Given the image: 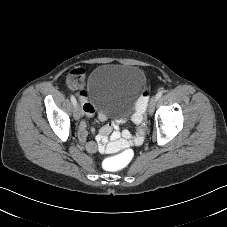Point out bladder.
<instances>
[{
  "instance_id": "31cf9c89",
  "label": "bladder",
  "mask_w": 227,
  "mask_h": 227,
  "mask_svg": "<svg viewBox=\"0 0 227 227\" xmlns=\"http://www.w3.org/2000/svg\"><path fill=\"white\" fill-rule=\"evenodd\" d=\"M144 75L131 65L104 63L92 73L86 95L110 119L128 118L142 93Z\"/></svg>"
}]
</instances>
